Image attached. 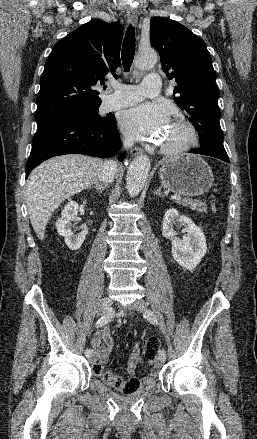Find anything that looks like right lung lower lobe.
<instances>
[{"mask_svg": "<svg viewBox=\"0 0 257 439\" xmlns=\"http://www.w3.org/2000/svg\"><path fill=\"white\" fill-rule=\"evenodd\" d=\"M38 131L26 164V178L43 161L64 154H85L100 158L114 156L121 147L115 117L94 122L75 115H60L38 121ZM125 153L119 156L122 161Z\"/></svg>", "mask_w": 257, "mask_h": 439, "instance_id": "98d812e1", "label": "right lung lower lobe"}]
</instances>
